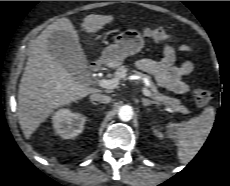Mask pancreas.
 I'll return each mask as SVG.
<instances>
[{
  "instance_id": "1",
  "label": "pancreas",
  "mask_w": 230,
  "mask_h": 186,
  "mask_svg": "<svg viewBox=\"0 0 230 186\" xmlns=\"http://www.w3.org/2000/svg\"><path fill=\"white\" fill-rule=\"evenodd\" d=\"M131 73H134L135 75L141 78H145L149 81L151 95L156 100L157 103H162L166 106H169L176 112H180L183 114L189 113V110L185 106H183L178 99L171 98L160 93L157 87L155 86V84L152 82L151 77L146 74L137 71H129V69L126 68L125 66H120L117 68L116 72L114 73V77L118 80H122L125 79L127 74H131Z\"/></svg>"
}]
</instances>
